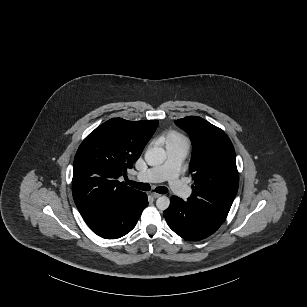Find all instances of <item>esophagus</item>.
Returning <instances> with one entry per match:
<instances>
[{
	"label": "esophagus",
	"instance_id": "obj_1",
	"mask_svg": "<svg viewBox=\"0 0 307 307\" xmlns=\"http://www.w3.org/2000/svg\"><path fill=\"white\" fill-rule=\"evenodd\" d=\"M150 195L154 199L159 198L161 196V194H158V193H155V192H152Z\"/></svg>",
	"mask_w": 307,
	"mask_h": 307
}]
</instances>
